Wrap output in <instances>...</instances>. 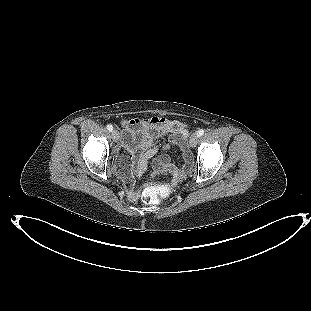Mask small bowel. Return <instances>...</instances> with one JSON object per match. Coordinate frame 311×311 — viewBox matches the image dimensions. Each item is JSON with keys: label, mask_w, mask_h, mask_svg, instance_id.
<instances>
[{"label": "small bowel", "mask_w": 311, "mask_h": 311, "mask_svg": "<svg viewBox=\"0 0 311 311\" xmlns=\"http://www.w3.org/2000/svg\"><path fill=\"white\" fill-rule=\"evenodd\" d=\"M122 125L124 131L119 148L123 150L120 151L118 165L123 161H126V166L131 163L130 174L140 177L147 170L150 159L176 146L184 152L182 163L179 166L173 165L169 157L162 156L156 160L155 170L169 172L174 182L185 176L191 165V158L186 152L187 130L183 123L164 117H152L124 120ZM165 135L170 137L168 143L155 144L157 138ZM128 192L132 199L138 197V191L132 182L129 183Z\"/></svg>", "instance_id": "small-bowel-1"}]
</instances>
